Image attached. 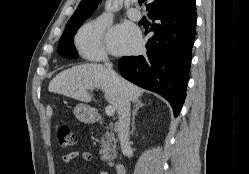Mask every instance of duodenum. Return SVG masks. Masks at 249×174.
<instances>
[{"instance_id": "410a0bca", "label": "duodenum", "mask_w": 249, "mask_h": 174, "mask_svg": "<svg viewBox=\"0 0 249 174\" xmlns=\"http://www.w3.org/2000/svg\"><path fill=\"white\" fill-rule=\"evenodd\" d=\"M116 174H127V169L123 164H117L114 166Z\"/></svg>"}]
</instances>
